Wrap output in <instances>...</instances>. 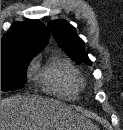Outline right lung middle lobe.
I'll use <instances>...</instances> for the list:
<instances>
[{
    "label": "right lung middle lobe",
    "instance_id": "dd1d6c3e",
    "mask_svg": "<svg viewBox=\"0 0 123 130\" xmlns=\"http://www.w3.org/2000/svg\"><path fill=\"white\" fill-rule=\"evenodd\" d=\"M35 54H22L1 59V91L22 88L27 80L26 68Z\"/></svg>",
    "mask_w": 123,
    "mask_h": 130
}]
</instances>
